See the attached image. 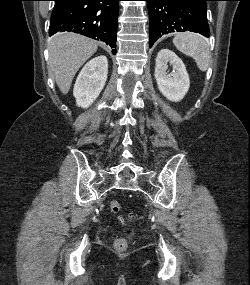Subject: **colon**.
I'll return each instance as SVG.
<instances>
[{"instance_id": "5ec220e1", "label": "colon", "mask_w": 250, "mask_h": 285, "mask_svg": "<svg viewBox=\"0 0 250 285\" xmlns=\"http://www.w3.org/2000/svg\"><path fill=\"white\" fill-rule=\"evenodd\" d=\"M110 211L112 213H117L120 210V204L118 201H112L109 205ZM132 231L130 229L126 230V234L130 235ZM128 240L126 237H119L114 241V247L118 251H124L127 249Z\"/></svg>"}]
</instances>
